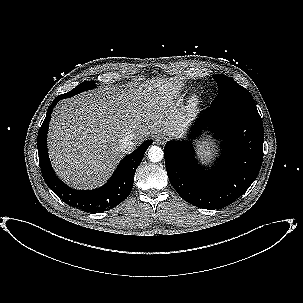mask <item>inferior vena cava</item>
<instances>
[{
  "mask_svg": "<svg viewBox=\"0 0 303 303\" xmlns=\"http://www.w3.org/2000/svg\"><path fill=\"white\" fill-rule=\"evenodd\" d=\"M133 139L134 135L129 134L121 140L119 148L123 153H129L134 150L135 145Z\"/></svg>",
  "mask_w": 303,
  "mask_h": 303,
  "instance_id": "inferior-vena-cava-1",
  "label": "inferior vena cava"
}]
</instances>
